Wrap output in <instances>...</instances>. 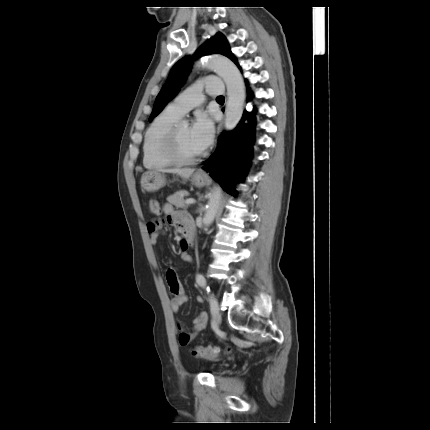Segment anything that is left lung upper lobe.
<instances>
[{
    "label": "left lung upper lobe",
    "instance_id": "5c2ea615",
    "mask_svg": "<svg viewBox=\"0 0 430 430\" xmlns=\"http://www.w3.org/2000/svg\"><path fill=\"white\" fill-rule=\"evenodd\" d=\"M218 53L231 59L240 69L236 57L230 50L229 44L223 34L217 33L213 38L208 40L200 49H198L193 58L196 59L201 55ZM192 59L189 56L183 57L171 69L169 77L158 94L153 111L150 115V120L156 117L164 108V106L172 100L179 89L185 82L186 74L191 66Z\"/></svg>",
    "mask_w": 430,
    "mask_h": 430
}]
</instances>
